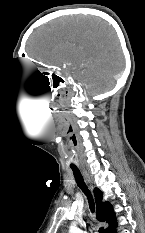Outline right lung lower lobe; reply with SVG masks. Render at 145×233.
I'll return each mask as SVG.
<instances>
[{"instance_id": "obj_1", "label": "right lung lower lobe", "mask_w": 145, "mask_h": 233, "mask_svg": "<svg viewBox=\"0 0 145 233\" xmlns=\"http://www.w3.org/2000/svg\"><path fill=\"white\" fill-rule=\"evenodd\" d=\"M115 228H116V224L113 225V226L111 227V229H110L109 231H107V233H115Z\"/></svg>"}]
</instances>
